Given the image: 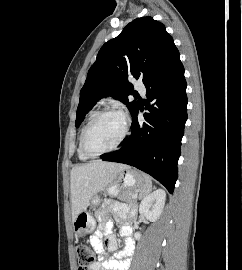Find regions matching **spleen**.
Returning <instances> with one entry per match:
<instances>
[{
  "label": "spleen",
  "mask_w": 242,
  "mask_h": 270,
  "mask_svg": "<svg viewBox=\"0 0 242 270\" xmlns=\"http://www.w3.org/2000/svg\"><path fill=\"white\" fill-rule=\"evenodd\" d=\"M144 178H145V185H144V187L142 188V190L140 192L141 197H144L147 194H149L150 191H151V188H152L151 178L149 176H147V175H144Z\"/></svg>",
  "instance_id": "obj_1"
}]
</instances>
